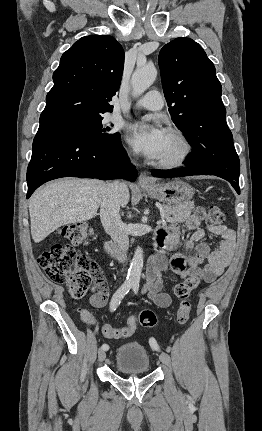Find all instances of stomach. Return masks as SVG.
Listing matches in <instances>:
<instances>
[{
  "instance_id": "obj_1",
  "label": "stomach",
  "mask_w": 262,
  "mask_h": 431,
  "mask_svg": "<svg viewBox=\"0 0 262 431\" xmlns=\"http://www.w3.org/2000/svg\"><path fill=\"white\" fill-rule=\"evenodd\" d=\"M143 190L154 199L171 206H190L189 202L194 194L193 188L179 179L143 187Z\"/></svg>"
}]
</instances>
